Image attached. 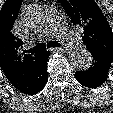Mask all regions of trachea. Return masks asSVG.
<instances>
[{"mask_svg": "<svg viewBox=\"0 0 113 113\" xmlns=\"http://www.w3.org/2000/svg\"><path fill=\"white\" fill-rule=\"evenodd\" d=\"M47 47H61V44L58 43L57 41H50L47 43ZM46 48V44L44 43H39L35 47H33L30 52H40L43 51Z\"/></svg>", "mask_w": 113, "mask_h": 113, "instance_id": "obj_1", "label": "trachea"}]
</instances>
